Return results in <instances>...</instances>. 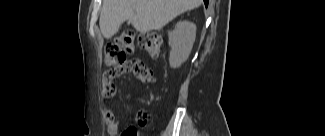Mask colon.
Returning a JSON list of instances; mask_svg holds the SVG:
<instances>
[{"mask_svg":"<svg viewBox=\"0 0 325 136\" xmlns=\"http://www.w3.org/2000/svg\"><path fill=\"white\" fill-rule=\"evenodd\" d=\"M144 49L151 57H159L163 39L159 33L148 32L138 36L133 31L127 30L114 38L107 44L104 51V62L107 66H117L125 62L127 55L135 50V42ZM121 136H140L135 127H128Z\"/></svg>","mask_w":325,"mask_h":136,"instance_id":"obj_1","label":"colon"}]
</instances>
